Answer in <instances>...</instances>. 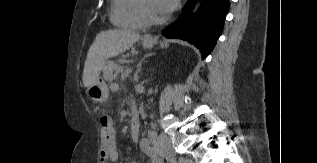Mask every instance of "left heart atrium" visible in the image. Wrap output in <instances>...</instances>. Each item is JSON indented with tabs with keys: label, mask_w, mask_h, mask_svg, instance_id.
I'll list each match as a JSON object with an SVG mask.
<instances>
[{
	"label": "left heart atrium",
	"mask_w": 317,
	"mask_h": 163,
	"mask_svg": "<svg viewBox=\"0 0 317 163\" xmlns=\"http://www.w3.org/2000/svg\"><path fill=\"white\" fill-rule=\"evenodd\" d=\"M159 7L161 10L165 13L168 14L172 12L178 4V0H157Z\"/></svg>",
	"instance_id": "obj_1"
}]
</instances>
